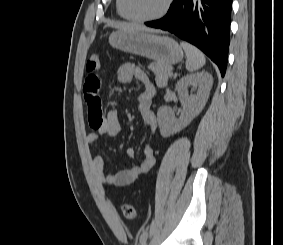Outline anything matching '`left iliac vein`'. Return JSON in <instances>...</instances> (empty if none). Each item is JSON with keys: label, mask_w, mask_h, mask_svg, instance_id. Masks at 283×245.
<instances>
[{"label": "left iliac vein", "mask_w": 283, "mask_h": 245, "mask_svg": "<svg viewBox=\"0 0 283 245\" xmlns=\"http://www.w3.org/2000/svg\"><path fill=\"white\" fill-rule=\"evenodd\" d=\"M142 245H147L146 242H144Z\"/></svg>", "instance_id": "obj_1"}]
</instances>
